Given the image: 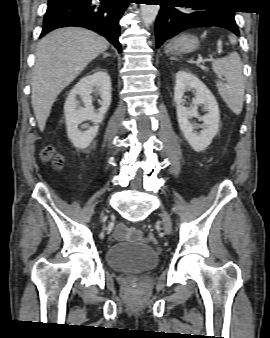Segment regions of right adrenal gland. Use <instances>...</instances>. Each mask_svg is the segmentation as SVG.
I'll return each instance as SVG.
<instances>
[{
  "instance_id": "obj_1",
  "label": "right adrenal gland",
  "mask_w": 270,
  "mask_h": 338,
  "mask_svg": "<svg viewBox=\"0 0 270 338\" xmlns=\"http://www.w3.org/2000/svg\"><path fill=\"white\" fill-rule=\"evenodd\" d=\"M109 56H110L109 53H104V55H103L104 58H105V57H109Z\"/></svg>"
}]
</instances>
